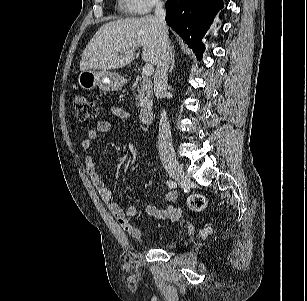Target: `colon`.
Returning <instances> with one entry per match:
<instances>
[{
	"label": "colon",
	"instance_id": "5ec220e1",
	"mask_svg": "<svg viewBox=\"0 0 307 301\" xmlns=\"http://www.w3.org/2000/svg\"><path fill=\"white\" fill-rule=\"evenodd\" d=\"M73 109L75 118L79 122H85L94 119L97 116L98 108L96 102L83 95H77L73 99ZM189 207L194 211H202L207 206V199L201 194H194L188 199ZM207 230H203L202 234H207Z\"/></svg>",
	"mask_w": 307,
	"mask_h": 301
}]
</instances>
